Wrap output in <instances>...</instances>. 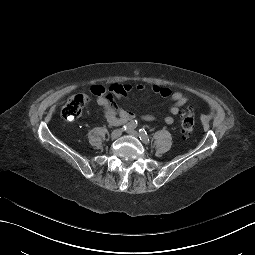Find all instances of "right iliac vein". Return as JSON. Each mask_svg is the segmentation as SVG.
I'll list each match as a JSON object with an SVG mask.
<instances>
[{
	"mask_svg": "<svg viewBox=\"0 0 255 255\" xmlns=\"http://www.w3.org/2000/svg\"><path fill=\"white\" fill-rule=\"evenodd\" d=\"M122 134V131L120 129H116L111 133V138L112 139H117L118 137H120Z\"/></svg>",
	"mask_w": 255,
	"mask_h": 255,
	"instance_id": "obj_1",
	"label": "right iliac vein"
}]
</instances>
